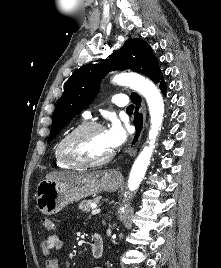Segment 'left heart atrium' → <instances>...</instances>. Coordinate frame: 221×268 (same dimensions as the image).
<instances>
[{"label": "left heart atrium", "mask_w": 221, "mask_h": 268, "mask_svg": "<svg viewBox=\"0 0 221 268\" xmlns=\"http://www.w3.org/2000/svg\"><path fill=\"white\" fill-rule=\"evenodd\" d=\"M105 136L111 150H115L125 142L127 134L123 126L117 120H113L105 130Z\"/></svg>", "instance_id": "1"}]
</instances>
